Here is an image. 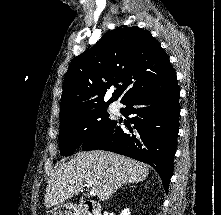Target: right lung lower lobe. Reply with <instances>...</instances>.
<instances>
[{
	"label": "right lung lower lobe",
	"instance_id": "98d812e1",
	"mask_svg": "<svg viewBox=\"0 0 221 215\" xmlns=\"http://www.w3.org/2000/svg\"><path fill=\"white\" fill-rule=\"evenodd\" d=\"M179 95L176 73L172 69L159 81L122 102L127 107L120 111L133 128L123 130L119 122L112 120L89 136L82 143V150H107L145 162L158 172L167 191L179 131Z\"/></svg>",
	"mask_w": 221,
	"mask_h": 215
}]
</instances>
